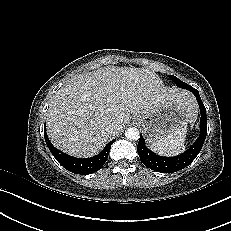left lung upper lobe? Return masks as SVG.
Listing matches in <instances>:
<instances>
[{
	"mask_svg": "<svg viewBox=\"0 0 231 231\" xmlns=\"http://www.w3.org/2000/svg\"><path fill=\"white\" fill-rule=\"evenodd\" d=\"M170 79L179 87L184 88V89H188L190 85L184 83L183 81H181L180 79H178L177 77H175L174 75H170Z\"/></svg>",
	"mask_w": 231,
	"mask_h": 231,
	"instance_id": "obj_1",
	"label": "left lung upper lobe"
}]
</instances>
